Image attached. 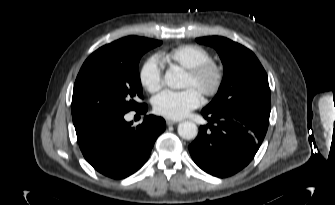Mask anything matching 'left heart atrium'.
<instances>
[{
    "label": "left heart atrium",
    "instance_id": "obj_1",
    "mask_svg": "<svg viewBox=\"0 0 335 205\" xmlns=\"http://www.w3.org/2000/svg\"><path fill=\"white\" fill-rule=\"evenodd\" d=\"M201 104L202 96L193 87L182 91L165 90L153 99L154 112L169 119H181Z\"/></svg>",
    "mask_w": 335,
    "mask_h": 205
}]
</instances>
